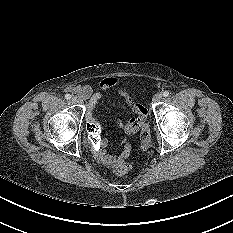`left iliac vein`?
<instances>
[{
    "mask_svg": "<svg viewBox=\"0 0 233 233\" xmlns=\"http://www.w3.org/2000/svg\"><path fill=\"white\" fill-rule=\"evenodd\" d=\"M162 94L161 93H156L154 96H153V99H152V101L153 102H159V101H161L162 100Z\"/></svg>",
    "mask_w": 233,
    "mask_h": 233,
    "instance_id": "left-iliac-vein-1",
    "label": "left iliac vein"
}]
</instances>
